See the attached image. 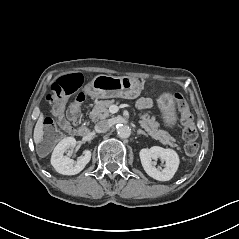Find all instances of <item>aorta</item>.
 Returning a JSON list of instances; mask_svg holds the SVG:
<instances>
[{
    "label": "aorta",
    "mask_w": 239,
    "mask_h": 239,
    "mask_svg": "<svg viewBox=\"0 0 239 239\" xmlns=\"http://www.w3.org/2000/svg\"><path fill=\"white\" fill-rule=\"evenodd\" d=\"M131 135V129L129 126L123 125L117 128V136L119 138H129Z\"/></svg>",
    "instance_id": "aorta-1"
}]
</instances>
